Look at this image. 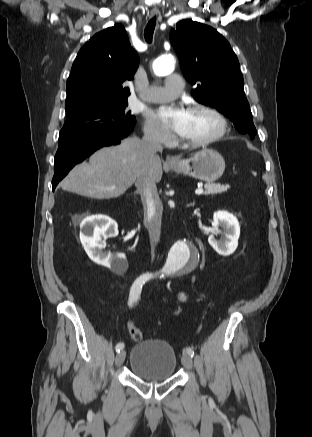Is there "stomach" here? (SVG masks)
<instances>
[{
	"label": "stomach",
	"mask_w": 312,
	"mask_h": 437,
	"mask_svg": "<svg viewBox=\"0 0 312 437\" xmlns=\"http://www.w3.org/2000/svg\"><path fill=\"white\" fill-rule=\"evenodd\" d=\"M170 169L178 174L212 183L222 176L225 161L217 151L203 149L188 159H180L171 164Z\"/></svg>",
	"instance_id": "0dacf381"
}]
</instances>
